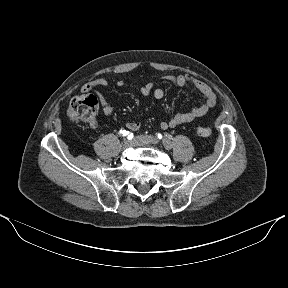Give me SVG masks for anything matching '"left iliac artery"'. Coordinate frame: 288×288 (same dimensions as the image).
<instances>
[{"instance_id":"44dca946","label":"left iliac artery","mask_w":288,"mask_h":288,"mask_svg":"<svg viewBox=\"0 0 288 288\" xmlns=\"http://www.w3.org/2000/svg\"><path fill=\"white\" fill-rule=\"evenodd\" d=\"M157 136H158L159 139L162 138V134H160V133H158Z\"/></svg>"}]
</instances>
